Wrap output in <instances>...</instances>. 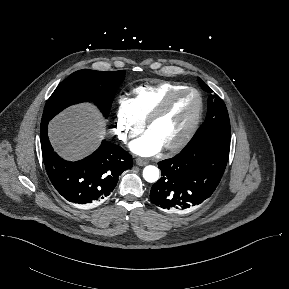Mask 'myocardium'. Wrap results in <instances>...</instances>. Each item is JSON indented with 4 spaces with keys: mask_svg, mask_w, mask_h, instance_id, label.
Wrapping results in <instances>:
<instances>
[{
    "mask_svg": "<svg viewBox=\"0 0 289 289\" xmlns=\"http://www.w3.org/2000/svg\"><path fill=\"white\" fill-rule=\"evenodd\" d=\"M186 92H191V93L196 95L197 100H198L197 109H196V112L194 114V117H193L188 129L185 131V133L182 135V137L171 144L163 146L164 149L167 151H175V150L182 148L194 136V134L198 128V125H199V122H200V119L202 116V112H203V98H202L201 93L196 88L190 87V86H184V87H181L179 89H176V90L170 92L158 104V106L149 114V116L147 117V119L145 121V127L149 131L152 124L155 121H157L168 110V108L170 107L172 102L178 96H180L181 94L186 93Z\"/></svg>",
    "mask_w": 289,
    "mask_h": 289,
    "instance_id": "myocardium-1",
    "label": "myocardium"
}]
</instances>
